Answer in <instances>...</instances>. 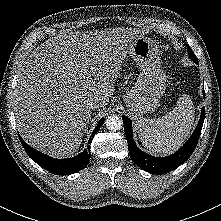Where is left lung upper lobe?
<instances>
[{
  "label": "left lung upper lobe",
  "mask_w": 221,
  "mask_h": 221,
  "mask_svg": "<svg viewBox=\"0 0 221 221\" xmlns=\"http://www.w3.org/2000/svg\"><path fill=\"white\" fill-rule=\"evenodd\" d=\"M187 51H188V54H189L191 60H192L193 62H195L196 64H198V59H197V57L195 56V54L193 53V51L191 50V48H190L189 45H187Z\"/></svg>",
  "instance_id": "obj_1"
}]
</instances>
